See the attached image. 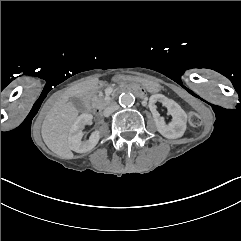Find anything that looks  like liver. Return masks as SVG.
<instances>
[{
	"instance_id": "liver-1",
	"label": "liver",
	"mask_w": 241,
	"mask_h": 241,
	"mask_svg": "<svg viewBox=\"0 0 241 241\" xmlns=\"http://www.w3.org/2000/svg\"><path fill=\"white\" fill-rule=\"evenodd\" d=\"M99 79H87L68 89L50 108L42 124V137L48 148L64 159H72L68 136L79 110L70 98L81 99L96 89Z\"/></svg>"
}]
</instances>
